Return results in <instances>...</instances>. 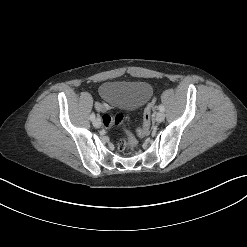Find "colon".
<instances>
[{"label": "colon", "instance_id": "5ec220e1", "mask_svg": "<svg viewBox=\"0 0 247 247\" xmlns=\"http://www.w3.org/2000/svg\"><path fill=\"white\" fill-rule=\"evenodd\" d=\"M154 107H155V98H153L145 108L143 123L141 127L137 131L126 129L127 138L122 139L118 144V148L120 150L122 151L133 150L137 146L138 139L146 136L149 133L151 114L154 110ZM123 122H124V116L120 113L115 115L105 114L103 116V124L107 129L122 126Z\"/></svg>", "mask_w": 247, "mask_h": 247}]
</instances>
